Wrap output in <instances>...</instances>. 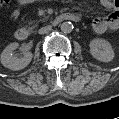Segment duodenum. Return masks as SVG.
<instances>
[{"label":"duodenum","mask_w":119,"mask_h":119,"mask_svg":"<svg viewBox=\"0 0 119 119\" xmlns=\"http://www.w3.org/2000/svg\"><path fill=\"white\" fill-rule=\"evenodd\" d=\"M79 20H80V16L78 14L65 12V13H61V14L57 15L52 20V24L53 25H58V24H60L64 21L78 22ZM15 36L18 40L24 41V40L28 39L29 32L25 28H19L16 31Z\"/></svg>","instance_id":"duodenum-1"}]
</instances>
